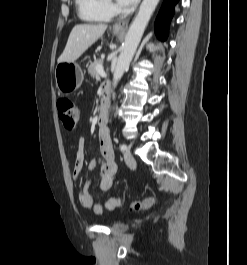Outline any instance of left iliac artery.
I'll return each mask as SVG.
<instances>
[{"label":"left iliac artery","mask_w":247,"mask_h":265,"mask_svg":"<svg viewBox=\"0 0 247 265\" xmlns=\"http://www.w3.org/2000/svg\"><path fill=\"white\" fill-rule=\"evenodd\" d=\"M119 148L121 151L127 150V146L125 144H121Z\"/></svg>","instance_id":"1"}]
</instances>
